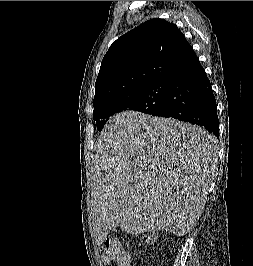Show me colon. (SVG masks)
Segmentation results:
<instances>
[{"mask_svg": "<svg viewBox=\"0 0 253 266\" xmlns=\"http://www.w3.org/2000/svg\"><path fill=\"white\" fill-rule=\"evenodd\" d=\"M102 261L108 266H133L131 255L117 238H107L100 246Z\"/></svg>", "mask_w": 253, "mask_h": 266, "instance_id": "1", "label": "colon"}]
</instances>
